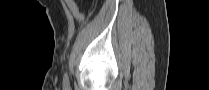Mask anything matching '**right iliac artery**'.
<instances>
[{
  "instance_id": "1",
  "label": "right iliac artery",
  "mask_w": 209,
  "mask_h": 90,
  "mask_svg": "<svg viewBox=\"0 0 209 90\" xmlns=\"http://www.w3.org/2000/svg\"><path fill=\"white\" fill-rule=\"evenodd\" d=\"M69 78H68V75L67 74H64V77H63V89L64 90H70L69 88Z\"/></svg>"
}]
</instances>
